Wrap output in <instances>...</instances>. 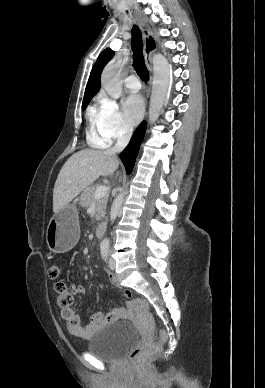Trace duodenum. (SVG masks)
<instances>
[{"label":"duodenum","instance_id":"410a0bca","mask_svg":"<svg viewBox=\"0 0 265 388\" xmlns=\"http://www.w3.org/2000/svg\"><path fill=\"white\" fill-rule=\"evenodd\" d=\"M106 228H107L106 222L105 221L100 222L96 228V236L102 237L105 234Z\"/></svg>","mask_w":265,"mask_h":388}]
</instances>
